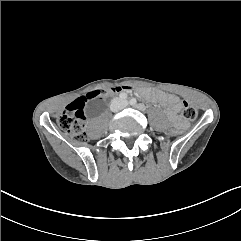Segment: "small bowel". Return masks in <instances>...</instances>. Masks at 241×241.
Here are the masks:
<instances>
[{
    "label": "small bowel",
    "instance_id": "1",
    "mask_svg": "<svg viewBox=\"0 0 241 241\" xmlns=\"http://www.w3.org/2000/svg\"><path fill=\"white\" fill-rule=\"evenodd\" d=\"M128 89L129 88H126V87H122V88L118 87V91H115V92H119L121 90H128ZM143 94L148 100L158 102L162 106L167 107V114L173 119L176 117V115L181 109L182 103L180 99L175 95L167 94L161 91H150V90H144ZM176 124L178 126H182V123L179 120H176Z\"/></svg>",
    "mask_w": 241,
    "mask_h": 241
}]
</instances>
